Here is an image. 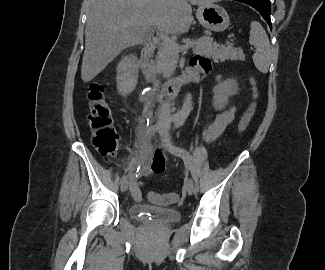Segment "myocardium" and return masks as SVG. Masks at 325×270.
Returning a JSON list of instances; mask_svg holds the SVG:
<instances>
[{"label":"myocardium","mask_w":325,"mask_h":270,"mask_svg":"<svg viewBox=\"0 0 325 270\" xmlns=\"http://www.w3.org/2000/svg\"><path fill=\"white\" fill-rule=\"evenodd\" d=\"M212 1H221V0H212Z\"/></svg>","instance_id":"obj_1"}]
</instances>
